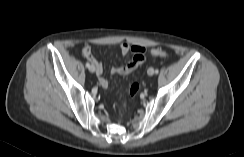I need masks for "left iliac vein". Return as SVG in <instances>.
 <instances>
[{
    "instance_id": "left-iliac-vein-1",
    "label": "left iliac vein",
    "mask_w": 244,
    "mask_h": 157,
    "mask_svg": "<svg viewBox=\"0 0 244 157\" xmlns=\"http://www.w3.org/2000/svg\"><path fill=\"white\" fill-rule=\"evenodd\" d=\"M154 74V69L151 67L148 69V75L152 76Z\"/></svg>"
}]
</instances>
